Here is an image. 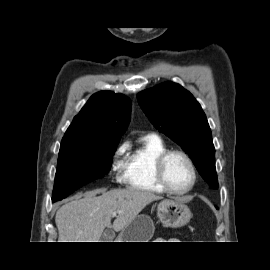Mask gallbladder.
Listing matches in <instances>:
<instances>
[{
  "label": "gallbladder",
  "instance_id": "gallbladder-1",
  "mask_svg": "<svg viewBox=\"0 0 270 270\" xmlns=\"http://www.w3.org/2000/svg\"><path fill=\"white\" fill-rule=\"evenodd\" d=\"M114 239V233L110 229H106L101 237L102 242H111Z\"/></svg>",
  "mask_w": 270,
  "mask_h": 270
}]
</instances>
